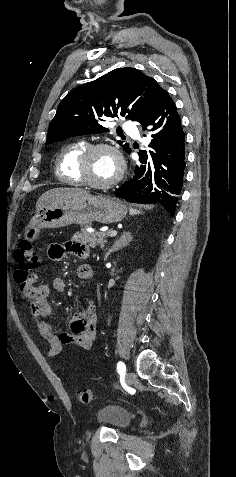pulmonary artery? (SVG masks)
<instances>
[{"mask_svg": "<svg viewBox=\"0 0 236 477\" xmlns=\"http://www.w3.org/2000/svg\"><path fill=\"white\" fill-rule=\"evenodd\" d=\"M122 128H123V130H124L127 134L138 136V135L136 134V129H135V127L133 126L132 123L126 122V123H124V124L122 125Z\"/></svg>", "mask_w": 236, "mask_h": 477, "instance_id": "obj_1", "label": "pulmonary artery"}]
</instances>
